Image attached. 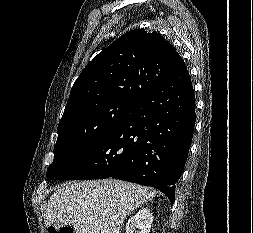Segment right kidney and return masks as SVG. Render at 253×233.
<instances>
[{"mask_svg":"<svg viewBox=\"0 0 253 233\" xmlns=\"http://www.w3.org/2000/svg\"><path fill=\"white\" fill-rule=\"evenodd\" d=\"M153 221V215L148 209L139 210L135 216L130 218L126 224V233H149L151 224Z\"/></svg>","mask_w":253,"mask_h":233,"instance_id":"1","label":"right kidney"}]
</instances>
